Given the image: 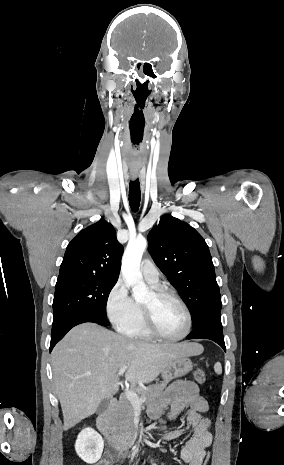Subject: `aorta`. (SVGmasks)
Listing matches in <instances>:
<instances>
[{
  "label": "aorta",
  "mask_w": 284,
  "mask_h": 465,
  "mask_svg": "<svg viewBox=\"0 0 284 465\" xmlns=\"http://www.w3.org/2000/svg\"><path fill=\"white\" fill-rule=\"evenodd\" d=\"M146 247L147 240L143 236L131 239L122 258L121 271L124 281L131 286L137 302H144L150 296V290L144 283L140 272V263Z\"/></svg>",
  "instance_id": "1"
}]
</instances>
